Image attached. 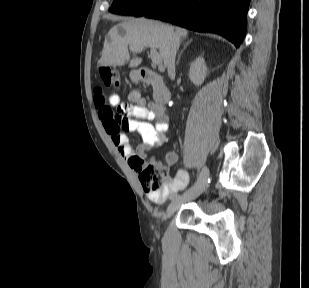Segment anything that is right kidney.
<instances>
[{"label":"right kidney","mask_w":309,"mask_h":288,"mask_svg":"<svg viewBox=\"0 0 309 288\" xmlns=\"http://www.w3.org/2000/svg\"><path fill=\"white\" fill-rule=\"evenodd\" d=\"M206 75L207 67L205 60L202 57H198L190 66L189 78L194 85L199 86L204 82Z\"/></svg>","instance_id":"1"}]
</instances>
